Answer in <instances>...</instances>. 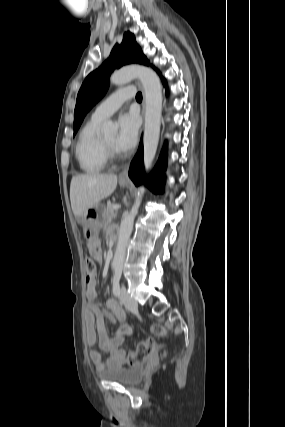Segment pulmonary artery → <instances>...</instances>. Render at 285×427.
I'll list each match as a JSON object with an SVG mask.
<instances>
[{"label":"pulmonary artery","mask_w":285,"mask_h":427,"mask_svg":"<svg viewBox=\"0 0 285 427\" xmlns=\"http://www.w3.org/2000/svg\"><path fill=\"white\" fill-rule=\"evenodd\" d=\"M135 95L133 86H127L119 89L107 97L94 110L92 117L99 120H104L115 113L125 101L131 99Z\"/></svg>","instance_id":"e3ab8cb5"}]
</instances>
